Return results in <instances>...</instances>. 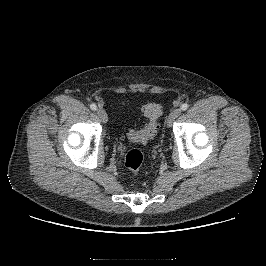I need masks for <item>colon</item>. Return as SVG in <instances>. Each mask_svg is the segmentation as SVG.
<instances>
[{
	"label": "colon",
	"mask_w": 266,
	"mask_h": 266,
	"mask_svg": "<svg viewBox=\"0 0 266 266\" xmlns=\"http://www.w3.org/2000/svg\"><path fill=\"white\" fill-rule=\"evenodd\" d=\"M142 112L147 118L146 125L138 130L129 133V138L136 143H146L151 140L157 133L158 122L157 119L161 114V106L157 103H147L142 107ZM143 163V155L140 150H130L125 158L126 168L133 174H137Z\"/></svg>",
	"instance_id": "obj_1"
}]
</instances>
